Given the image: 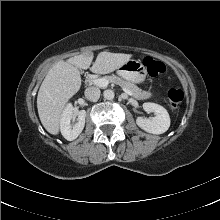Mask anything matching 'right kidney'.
Returning <instances> with one entry per match:
<instances>
[{"label":"right kidney","mask_w":220,"mask_h":220,"mask_svg":"<svg viewBox=\"0 0 220 220\" xmlns=\"http://www.w3.org/2000/svg\"><path fill=\"white\" fill-rule=\"evenodd\" d=\"M77 117V123L71 125V120ZM86 111L80 110L78 112L73 111V106L68 104L63 110L60 120L61 134L68 141L76 139L85 126Z\"/></svg>","instance_id":"obj_1"}]
</instances>
